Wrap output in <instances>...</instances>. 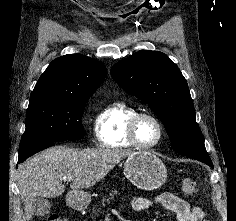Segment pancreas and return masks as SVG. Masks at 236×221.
Instances as JSON below:
<instances>
[{
    "instance_id": "cf45deb5",
    "label": "pancreas",
    "mask_w": 236,
    "mask_h": 221,
    "mask_svg": "<svg viewBox=\"0 0 236 221\" xmlns=\"http://www.w3.org/2000/svg\"><path fill=\"white\" fill-rule=\"evenodd\" d=\"M117 194V191H113L111 193H109L108 196H105L102 198L101 200V205H97L95 207H93V213L96 216L98 213L102 212L101 207L105 208L107 204L110 203L111 200L114 199V195Z\"/></svg>"
}]
</instances>
